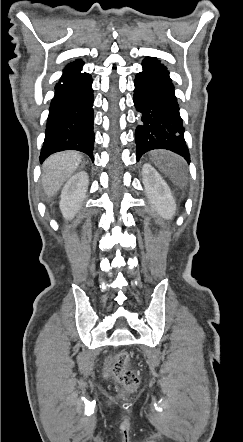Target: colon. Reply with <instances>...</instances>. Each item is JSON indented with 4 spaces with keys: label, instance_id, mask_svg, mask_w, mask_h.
<instances>
[{
    "label": "colon",
    "instance_id": "1",
    "mask_svg": "<svg viewBox=\"0 0 243 442\" xmlns=\"http://www.w3.org/2000/svg\"><path fill=\"white\" fill-rule=\"evenodd\" d=\"M129 361L130 354L121 351L113 363L112 373L126 391L132 392L137 389L140 381L138 375L128 368Z\"/></svg>",
    "mask_w": 243,
    "mask_h": 442
}]
</instances>
